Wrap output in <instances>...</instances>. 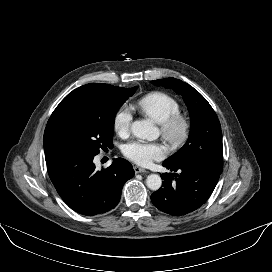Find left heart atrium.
Here are the masks:
<instances>
[{"label": "left heart atrium", "instance_id": "1", "mask_svg": "<svg viewBox=\"0 0 272 272\" xmlns=\"http://www.w3.org/2000/svg\"><path fill=\"white\" fill-rule=\"evenodd\" d=\"M123 154L129 160L139 165H149L165 156V149L159 143L133 141L123 147Z\"/></svg>", "mask_w": 272, "mask_h": 272}]
</instances>
